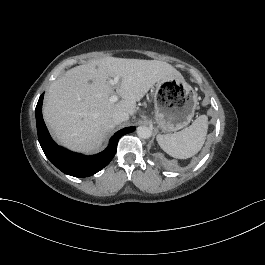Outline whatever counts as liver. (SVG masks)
<instances>
[{
  "instance_id": "1",
  "label": "liver",
  "mask_w": 265,
  "mask_h": 265,
  "mask_svg": "<svg viewBox=\"0 0 265 265\" xmlns=\"http://www.w3.org/2000/svg\"><path fill=\"white\" fill-rule=\"evenodd\" d=\"M121 81L117 95L109 81ZM182 81L181 74L159 60L119 59L106 57L68 71L47 90L43 115L52 134L64 145L77 150L92 151L116 123L112 114L128 112L133 116L137 102L157 83Z\"/></svg>"
}]
</instances>
